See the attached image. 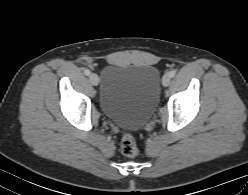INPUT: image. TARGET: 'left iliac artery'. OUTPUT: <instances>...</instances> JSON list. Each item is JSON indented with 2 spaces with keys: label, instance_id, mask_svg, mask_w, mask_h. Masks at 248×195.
Wrapping results in <instances>:
<instances>
[{
  "label": "left iliac artery",
  "instance_id": "obj_1",
  "mask_svg": "<svg viewBox=\"0 0 248 195\" xmlns=\"http://www.w3.org/2000/svg\"><path fill=\"white\" fill-rule=\"evenodd\" d=\"M175 74H176V71H175V70H172V71H170V72L168 73V75H169L171 78L174 77Z\"/></svg>",
  "mask_w": 248,
  "mask_h": 195
}]
</instances>
